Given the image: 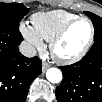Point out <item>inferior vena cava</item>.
<instances>
[{
    "mask_svg": "<svg viewBox=\"0 0 102 102\" xmlns=\"http://www.w3.org/2000/svg\"><path fill=\"white\" fill-rule=\"evenodd\" d=\"M19 51L22 55H24L25 57H29V58L34 57L37 54L36 49L26 41H23L19 45Z\"/></svg>",
    "mask_w": 102,
    "mask_h": 102,
    "instance_id": "obj_1",
    "label": "inferior vena cava"
}]
</instances>
